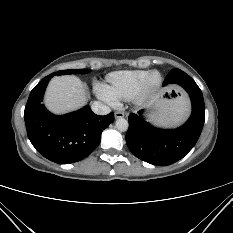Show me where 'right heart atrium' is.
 Returning a JSON list of instances; mask_svg holds the SVG:
<instances>
[{
	"instance_id": "1",
	"label": "right heart atrium",
	"mask_w": 233,
	"mask_h": 233,
	"mask_svg": "<svg viewBox=\"0 0 233 233\" xmlns=\"http://www.w3.org/2000/svg\"><path fill=\"white\" fill-rule=\"evenodd\" d=\"M98 95L101 99L107 101V102H114L113 99L108 95V93L106 92V90L104 89V87H99L98 88Z\"/></svg>"
}]
</instances>
